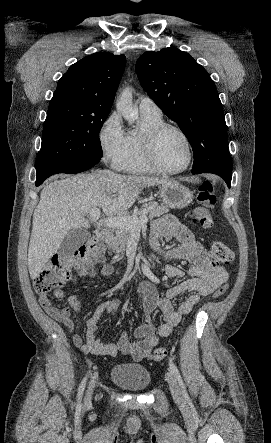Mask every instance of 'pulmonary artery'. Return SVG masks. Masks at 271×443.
<instances>
[{"instance_id":"e3ab8cb5","label":"pulmonary artery","mask_w":271,"mask_h":443,"mask_svg":"<svg viewBox=\"0 0 271 443\" xmlns=\"http://www.w3.org/2000/svg\"><path fill=\"white\" fill-rule=\"evenodd\" d=\"M139 110L141 114L147 115H161V110L157 104L147 96H142L138 99Z\"/></svg>"}]
</instances>
